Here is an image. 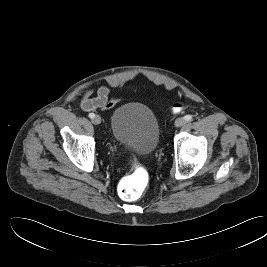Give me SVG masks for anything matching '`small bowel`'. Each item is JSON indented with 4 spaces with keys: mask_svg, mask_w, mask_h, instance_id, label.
<instances>
[{
    "mask_svg": "<svg viewBox=\"0 0 267 267\" xmlns=\"http://www.w3.org/2000/svg\"><path fill=\"white\" fill-rule=\"evenodd\" d=\"M92 93L93 90L88 88L82 94L80 107L84 112L107 111L120 101V98H110L111 89L107 85L100 86L94 97Z\"/></svg>",
    "mask_w": 267,
    "mask_h": 267,
    "instance_id": "c3829d8e",
    "label": "small bowel"
}]
</instances>
